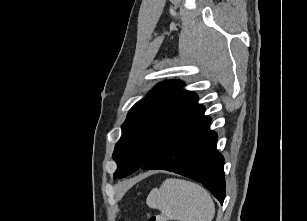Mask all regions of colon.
Returning <instances> with one entry per match:
<instances>
[{
  "label": "colon",
  "mask_w": 307,
  "mask_h": 221,
  "mask_svg": "<svg viewBox=\"0 0 307 221\" xmlns=\"http://www.w3.org/2000/svg\"><path fill=\"white\" fill-rule=\"evenodd\" d=\"M148 221H165V218L163 215L158 213H151L147 216Z\"/></svg>",
  "instance_id": "colon-1"
}]
</instances>
